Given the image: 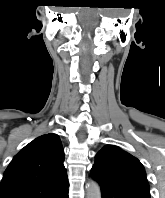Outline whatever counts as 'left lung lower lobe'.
Returning a JSON list of instances; mask_svg holds the SVG:
<instances>
[{"instance_id": "left-lung-lower-lobe-1", "label": "left lung lower lobe", "mask_w": 165, "mask_h": 198, "mask_svg": "<svg viewBox=\"0 0 165 198\" xmlns=\"http://www.w3.org/2000/svg\"><path fill=\"white\" fill-rule=\"evenodd\" d=\"M91 176L94 180H96L99 183L102 198H137L136 196H133L129 193L118 190L115 187L101 181L100 179L95 177L93 174H91Z\"/></svg>"}]
</instances>
